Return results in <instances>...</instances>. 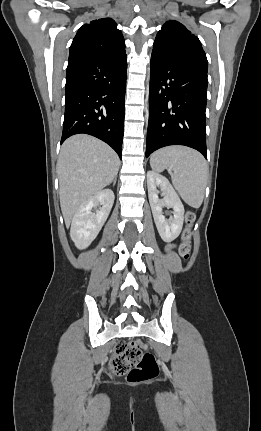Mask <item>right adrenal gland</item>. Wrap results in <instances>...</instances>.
Masks as SVG:
<instances>
[{"label":"right adrenal gland","instance_id":"1","mask_svg":"<svg viewBox=\"0 0 261 431\" xmlns=\"http://www.w3.org/2000/svg\"><path fill=\"white\" fill-rule=\"evenodd\" d=\"M116 181H117V176H115L114 179H113V186L116 185Z\"/></svg>","mask_w":261,"mask_h":431}]
</instances>
